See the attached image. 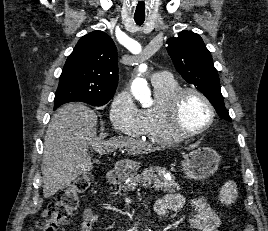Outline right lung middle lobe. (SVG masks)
Segmentation results:
<instances>
[{"instance_id":"obj_1","label":"right lung middle lobe","mask_w":268,"mask_h":231,"mask_svg":"<svg viewBox=\"0 0 268 231\" xmlns=\"http://www.w3.org/2000/svg\"><path fill=\"white\" fill-rule=\"evenodd\" d=\"M62 98H55V103H54V109H56L57 107H59L60 105L64 104V103H57V101H60ZM111 98H107V99H98V100H90V101H84L85 103H88L90 105L93 106H102L105 105L106 103H108V101Z\"/></svg>"}]
</instances>
